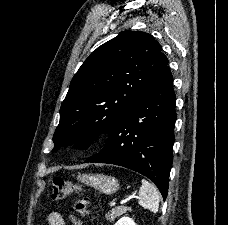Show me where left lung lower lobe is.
<instances>
[{"label":"left lung lower lobe","instance_id":"0a47b994","mask_svg":"<svg viewBox=\"0 0 228 225\" xmlns=\"http://www.w3.org/2000/svg\"><path fill=\"white\" fill-rule=\"evenodd\" d=\"M176 96L166 66L154 84L115 122L104 148L85 162L107 163L152 180L165 200L172 167Z\"/></svg>","mask_w":228,"mask_h":225}]
</instances>
